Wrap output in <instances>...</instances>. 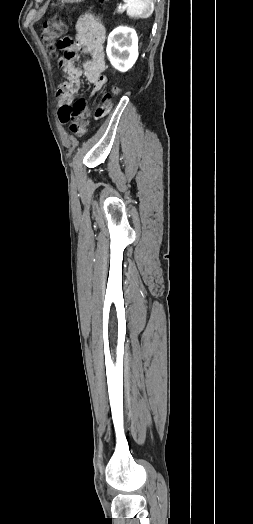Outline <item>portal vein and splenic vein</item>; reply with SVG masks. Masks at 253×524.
<instances>
[{
  "instance_id": "18ae733b",
  "label": "portal vein and splenic vein",
  "mask_w": 253,
  "mask_h": 524,
  "mask_svg": "<svg viewBox=\"0 0 253 524\" xmlns=\"http://www.w3.org/2000/svg\"><path fill=\"white\" fill-rule=\"evenodd\" d=\"M125 8H126V5H122V6L120 7V12H123Z\"/></svg>"
}]
</instances>
